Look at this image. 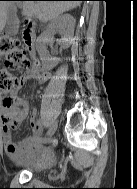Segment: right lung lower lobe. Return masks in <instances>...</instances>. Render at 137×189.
Instances as JSON below:
<instances>
[{"label": "right lung lower lobe", "mask_w": 137, "mask_h": 189, "mask_svg": "<svg viewBox=\"0 0 137 189\" xmlns=\"http://www.w3.org/2000/svg\"><path fill=\"white\" fill-rule=\"evenodd\" d=\"M74 1H85V0H74Z\"/></svg>", "instance_id": "1"}]
</instances>
